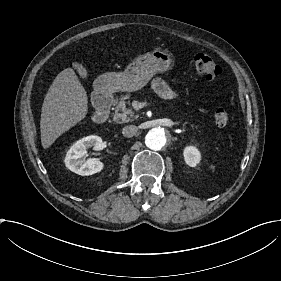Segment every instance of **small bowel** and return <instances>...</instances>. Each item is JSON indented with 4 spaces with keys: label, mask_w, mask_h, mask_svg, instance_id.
<instances>
[{
    "label": "small bowel",
    "mask_w": 281,
    "mask_h": 281,
    "mask_svg": "<svg viewBox=\"0 0 281 281\" xmlns=\"http://www.w3.org/2000/svg\"><path fill=\"white\" fill-rule=\"evenodd\" d=\"M153 89L163 98L168 100L178 99L177 92L173 91L161 78H154L151 82Z\"/></svg>",
    "instance_id": "small-bowel-1"
}]
</instances>
